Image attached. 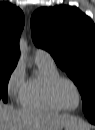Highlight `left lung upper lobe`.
<instances>
[{"label": "left lung upper lobe", "mask_w": 95, "mask_h": 130, "mask_svg": "<svg viewBox=\"0 0 95 130\" xmlns=\"http://www.w3.org/2000/svg\"><path fill=\"white\" fill-rule=\"evenodd\" d=\"M32 38L78 87L85 116L95 115V25L76 7L40 8L31 17Z\"/></svg>", "instance_id": "5c2ea615"}]
</instances>
